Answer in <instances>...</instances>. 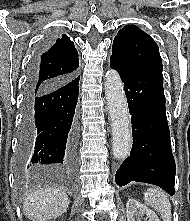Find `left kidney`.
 <instances>
[{"mask_svg": "<svg viewBox=\"0 0 190 221\" xmlns=\"http://www.w3.org/2000/svg\"><path fill=\"white\" fill-rule=\"evenodd\" d=\"M143 215H146L149 221H160L155 212L150 210L147 206L133 198L129 199L126 204L127 221H139V218Z\"/></svg>", "mask_w": 190, "mask_h": 221, "instance_id": "1", "label": "left kidney"}]
</instances>
